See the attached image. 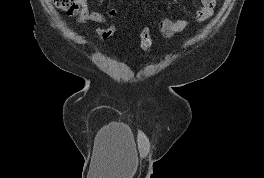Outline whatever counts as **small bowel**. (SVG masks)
Masks as SVG:
<instances>
[{
  "label": "small bowel",
  "mask_w": 264,
  "mask_h": 178,
  "mask_svg": "<svg viewBox=\"0 0 264 178\" xmlns=\"http://www.w3.org/2000/svg\"><path fill=\"white\" fill-rule=\"evenodd\" d=\"M101 6L106 5L107 0H99ZM81 10L77 17L79 24H85L87 22H93L96 24H104L107 17H114L117 14V10L110 8L106 11V15L98 11H91L88 7L89 0H79ZM216 0H200V6L195 12V20L198 23H202L209 19L214 12ZM188 26V21L184 19L173 20L170 18H163L159 21L158 27L160 33L170 38L174 35L182 32Z\"/></svg>",
  "instance_id": "obj_1"
}]
</instances>
